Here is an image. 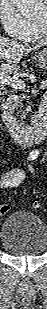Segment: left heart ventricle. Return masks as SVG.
I'll return each mask as SVG.
<instances>
[{
  "instance_id": "left-heart-ventricle-1",
  "label": "left heart ventricle",
  "mask_w": 47,
  "mask_h": 309,
  "mask_svg": "<svg viewBox=\"0 0 47 309\" xmlns=\"http://www.w3.org/2000/svg\"><path fill=\"white\" fill-rule=\"evenodd\" d=\"M46 16H47L46 12L43 11V12L40 13L39 15L35 16V17L33 18V20H34L35 22H38V23L44 25V24H45V20H46Z\"/></svg>"
}]
</instances>
